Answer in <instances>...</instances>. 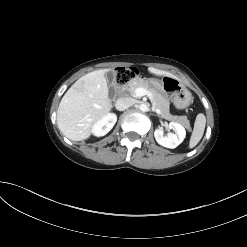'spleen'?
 Returning <instances> with one entry per match:
<instances>
[{
	"label": "spleen",
	"instance_id": "1",
	"mask_svg": "<svg viewBox=\"0 0 247 247\" xmlns=\"http://www.w3.org/2000/svg\"><path fill=\"white\" fill-rule=\"evenodd\" d=\"M206 125V117L204 114L200 113L196 117L194 124V129L189 141V148H194L201 140Z\"/></svg>",
	"mask_w": 247,
	"mask_h": 247
}]
</instances>
